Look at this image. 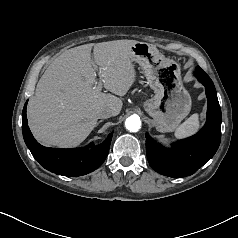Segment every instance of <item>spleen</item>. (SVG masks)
I'll use <instances>...</instances> for the list:
<instances>
[{"label": "spleen", "instance_id": "3e777b00", "mask_svg": "<svg viewBox=\"0 0 238 238\" xmlns=\"http://www.w3.org/2000/svg\"><path fill=\"white\" fill-rule=\"evenodd\" d=\"M199 127V115L195 113L176 129L174 135L177 139H183L196 133L199 130Z\"/></svg>", "mask_w": 238, "mask_h": 238}]
</instances>
